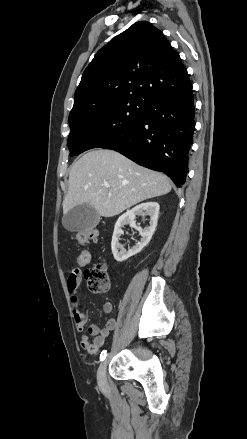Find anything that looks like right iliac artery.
I'll return each instance as SVG.
<instances>
[{"label":"right iliac artery","instance_id":"obj_1","mask_svg":"<svg viewBox=\"0 0 247 439\" xmlns=\"http://www.w3.org/2000/svg\"><path fill=\"white\" fill-rule=\"evenodd\" d=\"M106 354H107L106 350H103V351L101 352V354H100V360H101V361H103V360L105 359Z\"/></svg>","mask_w":247,"mask_h":439}]
</instances>
